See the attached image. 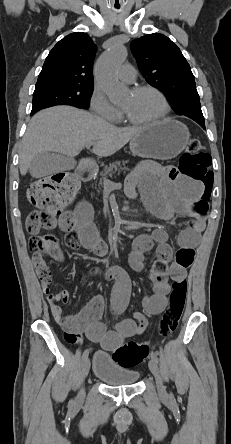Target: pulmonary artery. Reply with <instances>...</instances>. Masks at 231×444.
Segmentation results:
<instances>
[{
    "label": "pulmonary artery",
    "mask_w": 231,
    "mask_h": 444,
    "mask_svg": "<svg viewBox=\"0 0 231 444\" xmlns=\"http://www.w3.org/2000/svg\"><path fill=\"white\" fill-rule=\"evenodd\" d=\"M119 79L126 83H133L136 79V70L130 64H124L118 71Z\"/></svg>",
    "instance_id": "1"
}]
</instances>
